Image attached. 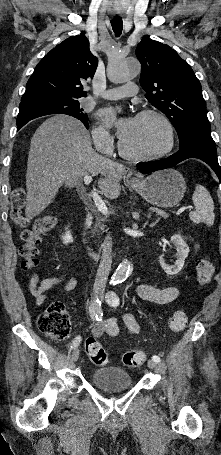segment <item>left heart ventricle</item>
I'll list each match as a JSON object with an SVG mask.
<instances>
[{
	"label": "left heart ventricle",
	"mask_w": 221,
	"mask_h": 455,
	"mask_svg": "<svg viewBox=\"0 0 221 455\" xmlns=\"http://www.w3.org/2000/svg\"><path fill=\"white\" fill-rule=\"evenodd\" d=\"M124 146L135 153H149L163 148L167 142L166 131L155 117L135 118L130 133L122 139Z\"/></svg>",
	"instance_id": "b2bd125f"
}]
</instances>
